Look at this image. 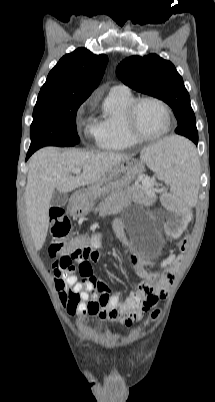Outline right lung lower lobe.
<instances>
[{"mask_svg":"<svg viewBox=\"0 0 215 402\" xmlns=\"http://www.w3.org/2000/svg\"><path fill=\"white\" fill-rule=\"evenodd\" d=\"M32 153H33V152H29V151H28L26 159H28V158L31 156Z\"/></svg>","mask_w":215,"mask_h":402,"instance_id":"98d812e1","label":"right lung lower lobe"}]
</instances>
